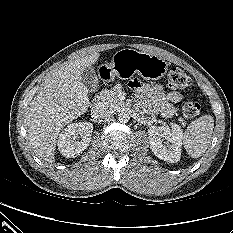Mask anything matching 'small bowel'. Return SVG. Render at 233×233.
I'll use <instances>...</instances> for the list:
<instances>
[{
	"mask_svg": "<svg viewBox=\"0 0 233 233\" xmlns=\"http://www.w3.org/2000/svg\"><path fill=\"white\" fill-rule=\"evenodd\" d=\"M136 92L137 107L141 110L170 117L175 112V104L182 101L184 95L178 91H165L161 85L143 83L139 80L130 82Z\"/></svg>",
	"mask_w": 233,
	"mask_h": 233,
	"instance_id": "small-bowel-1",
	"label": "small bowel"
}]
</instances>
